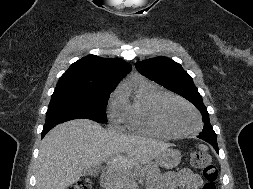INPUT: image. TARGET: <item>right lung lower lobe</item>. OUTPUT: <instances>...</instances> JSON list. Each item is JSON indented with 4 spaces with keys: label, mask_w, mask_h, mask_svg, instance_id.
I'll return each instance as SVG.
<instances>
[{
    "label": "right lung lower lobe",
    "mask_w": 253,
    "mask_h": 189,
    "mask_svg": "<svg viewBox=\"0 0 253 189\" xmlns=\"http://www.w3.org/2000/svg\"><path fill=\"white\" fill-rule=\"evenodd\" d=\"M64 121L66 120L45 123L41 137L43 138L53 127H55L57 124L62 123Z\"/></svg>",
    "instance_id": "obj_1"
}]
</instances>
